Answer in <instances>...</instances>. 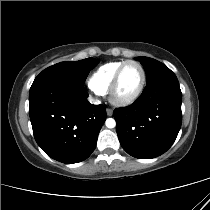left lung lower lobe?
Masks as SVG:
<instances>
[{
	"label": "left lung lower lobe",
	"instance_id": "left-lung-lower-lobe-1",
	"mask_svg": "<svg viewBox=\"0 0 210 210\" xmlns=\"http://www.w3.org/2000/svg\"><path fill=\"white\" fill-rule=\"evenodd\" d=\"M182 93L173 72L147 83L130 106L114 110L117 135L123 149L139 159L165 153L182 123Z\"/></svg>",
	"mask_w": 210,
	"mask_h": 210
}]
</instances>
